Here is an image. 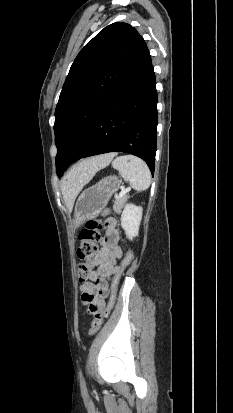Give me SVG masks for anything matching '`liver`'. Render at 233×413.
I'll return each mask as SVG.
<instances>
[{
  "mask_svg": "<svg viewBox=\"0 0 233 413\" xmlns=\"http://www.w3.org/2000/svg\"><path fill=\"white\" fill-rule=\"evenodd\" d=\"M115 155V153H110L83 160L64 177L61 182V190L69 211L72 210L74 201L82 188L99 170L109 165Z\"/></svg>",
  "mask_w": 233,
  "mask_h": 413,
  "instance_id": "6515ba94",
  "label": "liver"
}]
</instances>
